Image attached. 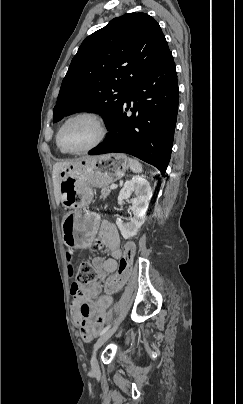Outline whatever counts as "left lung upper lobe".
Instances as JSON below:
<instances>
[{
	"label": "left lung upper lobe",
	"instance_id": "1",
	"mask_svg": "<svg viewBox=\"0 0 243 404\" xmlns=\"http://www.w3.org/2000/svg\"><path fill=\"white\" fill-rule=\"evenodd\" d=\"M170 53L159 24L145 13L112 19L88 36L63 79L53 120L94 112L116 120L135 84Z\"/></svg>",
	"mask_w": 243,
	"mask_h": 404
}]
</instances>
